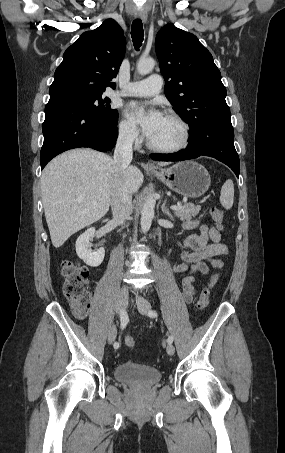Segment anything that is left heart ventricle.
<instances>
[{
  "label": "left heart ventricle",
  "mask_w": 285,
  "mask_h": 453,
  "mask_svg": "<svg viewBox=\"0 0 285 453\" xmlns=\"http://www.w3.org/2000/svg\"><path fill=\"white\" fill-rule=\"evenodd\" d=\"M183 138V132L180 125L166 117L163 116L160 124L149 138L155 145L171 147L178 145Z\"/></svg>",
  "instance_id": "left-heart-ventricle-1"
}]
</instances>
